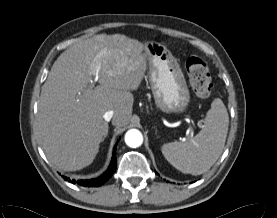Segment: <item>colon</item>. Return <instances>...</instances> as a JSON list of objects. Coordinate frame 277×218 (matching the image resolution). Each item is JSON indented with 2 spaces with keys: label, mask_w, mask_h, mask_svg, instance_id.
Listing matches in <instances>:
<instances>
[{
  "label": "colon",
  "mask_w": 277,
  "mask_h": 218,
  "mask_svg": "<svg viewBox=\"0 0 277 218\" xmlns=\"http://www.w3.org/2000/svg\"><path fill=\"white\" fill-rule=\"evenodd\" d=\"M186 70L194 94L200 99H208L213 84L206 62L201 57L192 55L186 61Z\"/></svg>",
  "instance_id": "5ec220e1"
}]
</instances>
